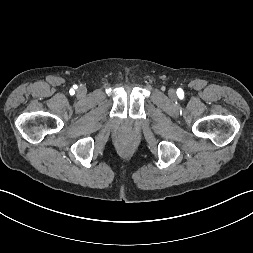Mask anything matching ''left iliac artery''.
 <instances>
[{
    "instance_id": "44dca946",
    "label": "left iliac artery",
    "mask_w": 253,
    "mask_h": 253,
    "mask_svg": "<svg viewBox=\"0 0 253 253\" xmlns=\"http://www.w3.org/2000/svg\"><path fill=\"white\" fill-rule=\"evenodd\" d=\"M177 94H178L179 97L182 96L183 95V90L182 89H178L177 90Z\"/></svg>"
}]
</instances>
